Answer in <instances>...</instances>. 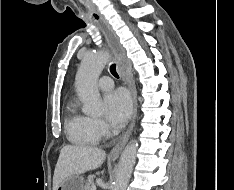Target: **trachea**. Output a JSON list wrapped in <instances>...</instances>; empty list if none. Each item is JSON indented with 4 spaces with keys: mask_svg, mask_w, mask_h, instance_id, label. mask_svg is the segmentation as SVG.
Instances as JSON below:
<instances>
[{
    "mask_svg": "<svg viewBox=\"0 0 234 190\" xmlns=\"http://www.w3.org/2000/svg\"><path fill=\"white\" fill-rule=\"evenodd\" d=\"M110 72L114 77L119 78V75H118V73L116 71V65L115 64H112L110 66Z\"/></svg>",
    "mask_w": 234,
    "mask_h": 190,
    "instance_id": "obj_1",
    "label": "trachea"
}]
</instances>
